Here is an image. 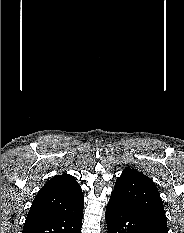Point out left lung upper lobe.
Instances as JSON below:
<instances>
[{
  "label": "left lung upper lobe",
  "instance_id": "5c2ea615",
  "mask_svg": "<svg viewBox=\"0 0 184 233\" xmlns=\"http://www.w3.org/2000/svg\"><path fill=\"white\" fill-rule=\"evenodd\" d=\"M111 197L135 211L155 233H168L162 199L154 182L146 175L131 168L124 169Z\"/></svg>",
  "mask_w": 184,
  "mask_h": 233
}]
</instances>
